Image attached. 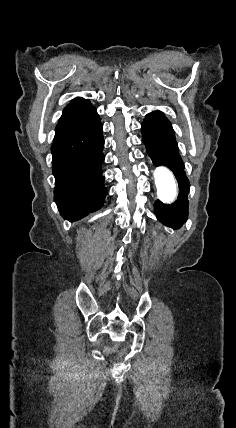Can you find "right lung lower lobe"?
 Returning <instances> with one entry per match:
<instances>
[{"instance_id":"obj_1","label":"right lung lower lobe","mask_w":236,"mask_h":428,"mask_svg":"<svg viewBox=\"0 0 236 428\" xmlns=\"http://www.w3.org/2000/svg\"><path fill=\"white\" fill-rule=\"evenodd\" d=\"M103 146L102 123L93 105L64 109L51 147L54 201L64 219L76 221L103 206Z\"/></svg>"}]
</instances>
